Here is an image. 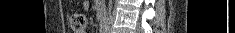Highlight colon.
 <instances>
[{
	"label": "colon",
	"instance_id": "5ec220e1",
	"mask_svg": "<svg viewBox=\"0 0 235 33\" xmlns=\"http://www.w3.org/2000/svg\"><path fill=\"white\" fill-rule=\"evenodd\" d=\"M69 24L73 33H86L88 22L83 14H72L69 20Z\"/></svg>",
	"mask_w": 235,
	"mask_h": 33
}]
</instances>
